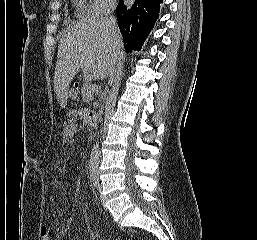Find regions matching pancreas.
<instances>
[{
    "label": "pancreas",
    "instance_id": "1",
    "mask_svg": "<svg viewBox=\"0 0 257 240\" xmlns=\"http://www.w3.org/2000/svg\"><path fill=\"white\" fill-rule=\"evenodd\" d=\"M88 93H89V84L85 83L82 87V90H81L82 99L84 101H89L90 100V98L88 97Z\"/></svg>",
    "mask_w": 257,
    "mask_h": 240
}]
</instances>
